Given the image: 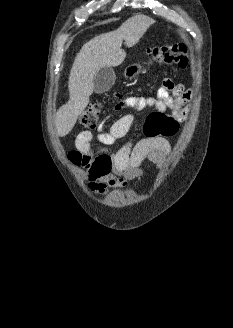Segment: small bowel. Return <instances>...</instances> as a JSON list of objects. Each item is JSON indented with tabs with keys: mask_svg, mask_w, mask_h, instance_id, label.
Returning <instances> with one entry per match:
<instances>
[{
	"mask_svg": "<svg viewBox=\"0 0 233 328\" xmlns=\"http://www.w3.org/2000/svg\"><path fill=\"white\" fill-rule=\"evenodd\" d=\"M192 91L185 89L181 84H175L171 79H165L155 97L128 96L116 104L115 110L134 109L141 111L146 107H153L157 111H171L177 120L185 119L188 112V102L192 98ZM133 115L126 114L116 120L108 131L101 125L98 133L81 132L76 139L79 149H87L93 139L106 146H110L123 138L131 128ZM171 150V145L165 138L140 139L130 141L112 154V172L104 177L103 181L93 189L99 194H105L109 187H123L128 181L143 176L140 165L146 159L161 166Z\"/></svg>",
	"mask_w": 233,
	"mask_h": 328,
	"instance_id": "c3829d8e",
	"label": "small bowel"
}]
</instances>
